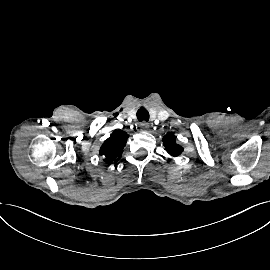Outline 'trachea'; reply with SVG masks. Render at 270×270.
Instances as JSON below:
<instances>
[{
	"label": "trachea",
	"mask_w": 270,
	"mask_h": 270,
	"mask_svg": "<svg viewBox=\"0 0 270 270\" xmlns=\"http://www.w3.org/2000/svg\"><path fill=\"white\" fill-rule=\"evenodd\" d=\"M137 118L140 122L141 121H148L149 120V112L144 107H141L137 111Z\"/></svg>",
	"instance_id": "obj_1"
}]
</instances>
